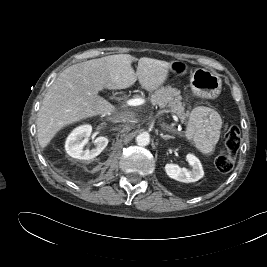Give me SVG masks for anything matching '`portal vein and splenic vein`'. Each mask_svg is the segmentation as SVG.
<instances>
[{
    "label": "portal vein and splenic vein",
    "mask_w": 267,
    "mask_h": 267,
    "mask_svg": "<svg viewBox=\"0 0 267 267\" xmlns=\"http://www.w3.org/2000/svg\"><path fill=\"white\" fill-rule=\"evenodd\" d=\"M144 102L145 101L142 98H135V99L127 100L126 101V105H128V106H138V105L144 104ZM172 117H173L175 122H179V119H178V117L176 115L173 114Z\"/></svg>",
    "instance_id": "18ae733b"
}]
</instances>
